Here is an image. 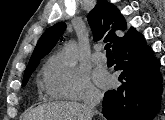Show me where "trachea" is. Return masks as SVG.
Returning <instances> with one entry per match:
<instances>
[{
    "label": "trachea",
    "mask_w": 165,
    "mask_h": 120,
    "mask_svg": "<svg viewBox=\"0 0 165 120\" xmlns=\"http://www.w3.org/2000/svg\"><path fill=\"white\" fill-rule=\"evenodd\" d=\"M105 50H106V54H112L109 43L105 45Z\"/></svg>",
    "instance_id": "3493384b"
}]
</instances>
